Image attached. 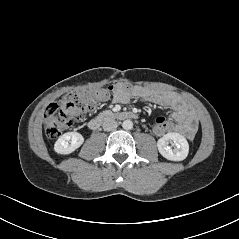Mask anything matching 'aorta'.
<instances>
[{"instance_id":"aorta-1","label":"aorta","mask_w":239,"mask_h":239,"mask_svg":"<svg viewBox=\"0 0 239 239\" xmlns=\"http://www.w3.org/2000/svg\"><path fill=\"white\" fill-rule=\"evenodd\" d=\"M122 127L125 130H131L133 128V122L131 120H125L122 123Z\"/></svg>"}]
</instances>
